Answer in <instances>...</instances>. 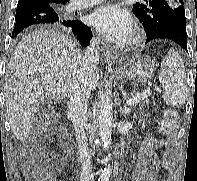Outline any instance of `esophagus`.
I'll list each match as a JSON object with an SVG mask.
<instances>
[{
  "mask_svg": "<svg viewBox=\"0 0 197 181\" xmlns=\"http://www.w3.org/2000/svg\"><path fill=\"white\" fill-rule=\"evenodd\" d=\"M104 56H105V62L109 67L114 68L115 67V61L117 59L116 54L109 48L103 49Z\"/></svg>",
  "mask_w": 197,
  "mask_h": 181,
  "instance_id": "34e87169",
  "label": "esophagus"
}]
</instances>
